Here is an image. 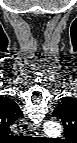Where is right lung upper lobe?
I'll use <instances>...</instances> for the list:
<instances>
[{"label":"right lung upper lobe","mask_w":77,"mask_h":143,"mask_svg":"<svg viewBox=\"0 0 77 143\" xmlns=\"http://www.w3.org/2000/svg\"><path fill=\"white\" fill-rule=\"evenodd\" d=\"M23 116L16 102L7 97H0V129L10 133L9 126Z\"/></svg>","instance_id":"cb5924a9"}]
</instances>
